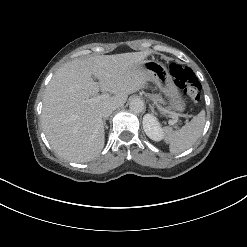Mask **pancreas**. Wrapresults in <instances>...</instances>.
Returning <instances> with one entry per match:
<instances>
[{"label": "pancreas", "instance_id": "obj_1", "mask_svg": "<svg viewBox=\"0 0 247 247\" xmlns=\"http://www.w3.org/2000/svg\"><path fill=\"white\" fill-rule=\"evenodd\" d=\"M150 98L154 101V102H159V103H162V104H164L165 102H164V100H163V98H162V96L160 95V94H153V95H151L150 96Z\"/></svg>", "mask_w": 247, "mask_h": 247}]
</instances>
